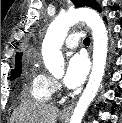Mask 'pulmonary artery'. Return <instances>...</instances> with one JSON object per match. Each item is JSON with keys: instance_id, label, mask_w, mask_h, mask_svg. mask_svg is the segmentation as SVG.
Returning a JSON list of instances; mask_svg holds the SVG:
<instances>
[{"instance_id": "1", "label": "pulmonary artery", "mask_w": 122, "mask_h": 123, "mask_svg": "<svg viewBox=\"0 0 122 123\" xmlns=\"http://www.w3.org/2000/svg\"><path fill=\"white\" fill-rule=\"evenodd\" d=\"M82 37V32L71 33L65 40V46L70 49L76 48Z\"/></svg>"}]
</instances>
